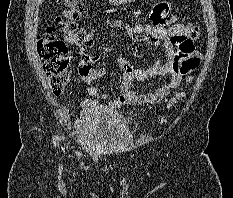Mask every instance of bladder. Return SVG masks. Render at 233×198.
<instances>
[{"instance_id":"31cf9c89","label":"bladder","mask_w":233,"mask_h":198,"mask_svg":"<svg viewBox=\"0 0 233 198\" xmlns=\"http://www.w3.org/2000/svg\"><path fill=\"white\" fill-rule=\"evenodd\" d=\"M76 135L90 149L112 150L128 146L132 133L118 112L86 110L76 121Z\"/></svg>"}]
</instances>
